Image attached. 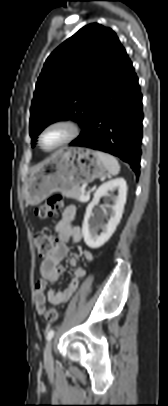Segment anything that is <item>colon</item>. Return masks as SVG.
<instances>
[{"mask_svg": "<svg viewBox=\"0 0 168 406\" xmlns=\"http://www.w3.org/2000/svg\"><path fill=\"white\" fill-rule=\"evenodd\" d=\"M63 207V198L59 195L50 196L41 206L37 207L35 214L43 220L52 219ZM34 242L37 248L39 258H46L57 245V239L45 233H37L34 236ZM40 311L49 322H55L58 319V311L52 306H46L40 303Z\"/></svg>", "mask_w": 168, "mask_h": 406, "instance_id": "colon-1", "label": "colon"}]
</instances>
